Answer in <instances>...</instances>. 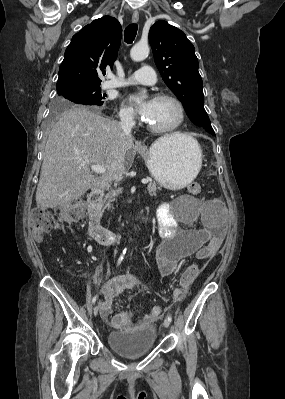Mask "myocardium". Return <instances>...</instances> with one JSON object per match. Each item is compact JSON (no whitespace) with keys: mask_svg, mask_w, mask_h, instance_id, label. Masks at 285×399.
Listing matches in <instances>:
<instances>
[{"mask_svg":"<svg viewBox=\"0 0 285 399\" xmlns=\"http://www.w3.org/2000/svg\"><path fill=\"white\" fill-rule=\"evenodd\" d=\"M154 100H169L171 102H173L179 109V113H180V118L178 120L177 123H175L172 126H168V127H155L152 124H150L148 121H146V126L149 130L155 132V133H169V132H173L175 130H177L184 122L185 119V108L182 104V102L175 96L170 95V94H158Z\"/></svg>","mask_w":285,"mask_h":399,"instance_id":"obj_1","label":"myocardium"}]
</instances>
